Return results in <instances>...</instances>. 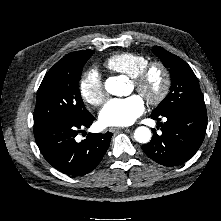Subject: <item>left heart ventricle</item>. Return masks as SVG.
I'll list each match as a JSON object with an SVG mask.
<instances>
[{"mask_svg": "<svg viewBox=\"0 0 221 221\" xmlns=\"http://www.w3.org/2000/svg\"><path fill=\"white\" fill-rule=\"evenodd\" d=\"M161 85H162V76L159 71L155 70L150 74L147 80L145 86V92L151 95L156 94L159 92Z\"/></svg>", "mask_w": 221, "mask_h": 221, "instance_id": "1", "label": "left heart ventricle"}]
</instances>
